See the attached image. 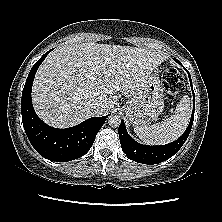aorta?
Wrapping results in <instances>:
<instances>
[{
  "instance_id": "1",
  "label": "aorta",
  "mask_w": 222,
  "mask_h": 222,
  "mask_svg": "<svg viewBox=\"0 0 222 222\" xmlns=\"http://www.w3.org/2000/svg\"><path fill=\"white\" fill-rule=\"evenodd\" d=\"M108 124L111 127H119L121 124V118L118 115H110L108 118Z\"/></svg>"
}]
</instances>
